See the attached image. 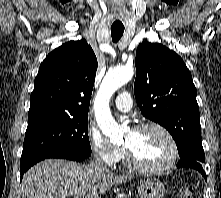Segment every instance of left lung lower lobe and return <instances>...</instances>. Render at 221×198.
Returning a JSON list of instances; mask_svg holds the SVG:
<instances>
[{"label":"left lung lower lobe","instance_id":"obj_1","mask_svg":"<svg viewBox=\"0 0 221 198\" xmlns=\"http://www.w3.org/2000/svg\"><path fill=\"white\" fill-rule=\"evenodd\" d=\"M177 167H189V168H193L196 169L197 171H199L202 176L207 179L206 174L203 170V166L201 163L197 162V161H191V160H180L177 163Z\"/></svg>","mask_w":221,"mask_h":198}]
</instances>
